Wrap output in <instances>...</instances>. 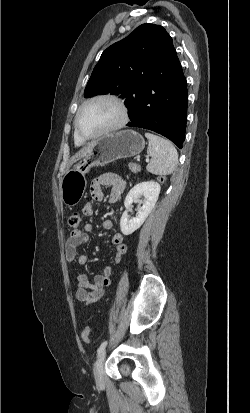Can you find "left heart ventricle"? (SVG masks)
Instances as JSON below:
<instances>
[{"mask_svg":"<svg viewBox=\"0 0 250 413\" xmlns=\"http://www.w3.org/2000/svg\"><path fill=\"white\" fill-rule=\"evenodd\" d=\"M120 118L118 107L109 101H98L86 106L79 117V129L85 135L96 134Z\"/></svg>","mask_w":250,"mask_h":413,"instance_id":"obj_1","label":"left heart ventricle"}]
</instances>
